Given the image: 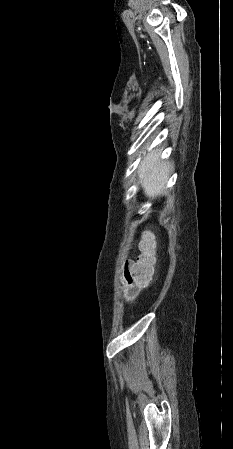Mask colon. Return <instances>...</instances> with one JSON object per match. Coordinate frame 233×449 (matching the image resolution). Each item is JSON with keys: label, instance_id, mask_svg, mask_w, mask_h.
Listing matches in <instances>:
<instances>
[{"label": "colon", "instance_id": "1", "mask_svg": "<svg viewBox=\"0 0 233 449\" xmlns=\"http://www.w3.org/2000/svg\"><path fill=\"white\" fill-rule=\"evenodd\" d=\"M142 255L137 261L133 262L128 269L127 266V279L136 291L148 285L154 274V256L153 248L154 241L151 234H147L142 242Z\"/></svg>", "mask_w": 233, "mask_h": 449}]
</instances>
